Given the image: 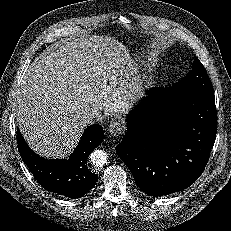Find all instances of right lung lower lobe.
Segmentation results:
<instances>
[{
    "label": "right lung lower lobe",
    "mask_w": 231,
    "mask_h": 231,
    "mask_svg": "<svg viewBox=\"0 0 231 231\" xmlns=\"http://www.w3.org/2000/svg\"><path fill=\"white\" fill-rule=\"evenodd\" d=\"M103 137L101 125L89 126L68 159L40 157L32 151L19 131L17 144L22 160L44 189L69 198H81L98 179V175L88 169L87 159L91 151L102 143Z\"/></svg>",
    "instance_id": "right-lung-lower-lobe-1"
}]
</instances>
